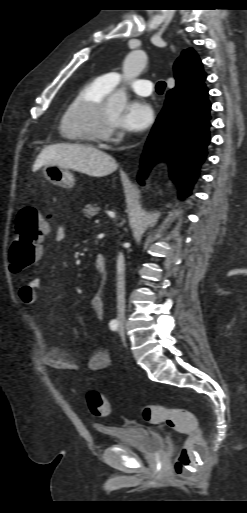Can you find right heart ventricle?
Instances as JSON below:
<instances>
[{"label":"right heart ventricle","instance_id":"e07e8e85","mask_svg":"<svg viewBox=\"0 0 247 513\" xmlns=\"http://www.w3.org/2000/svg\"><path fill=\"white\" fill-rule=\"evenodd\" d=\"M111 91L110 88L103 85L98 79L86 82L73 96L63 111L60 122L59 131L65 140L75 143H83L88 140L70 132L67 124L71 116L81 108L88 104L103 101Z\"/></svg>","mask_w":247,"mask_h":513}]
</instances>
